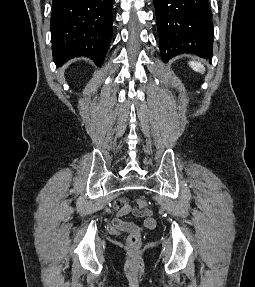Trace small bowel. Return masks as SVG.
I'll use <instances>...</instances> for the list:
<instances>
[{"label": "small bowel", "mask_w": 255, "mask_h": 287, "mask_svg": "<svg viewBox=\"0 0 255 287\" xmlns=\"http://www.w3.org/2000/svg\"><path fill=\"white\" fill-rule=\"evenodd\" d=\"M116 216L112 220V230L117 233L140 232L141 230H153L156 227V219L151 210L139 209L132 211L127 198H118L114 202ZM130 213L143 219V226L140 227L133 220H125L124 217Z\"/></svg>", "instance_id": "1"}]
</instances>
